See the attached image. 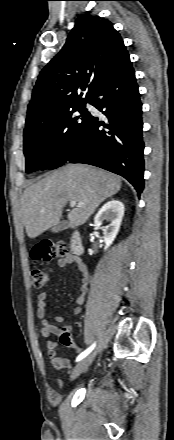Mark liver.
<instances>
[{
	"label": "liver",
	"instance_id": "liver-1",
	"mask_svg": "<svg viewBox=\"0 0 174 440\" xmlns=\"http://www.w3.org/2000/svg\"><path fill=\"white\" fill-rule=\"evenodd\" d=\"M117 175L89 165L69 164L27 187L22 195L21 220L29 238L59 223L69 201L83 205L67 215L68 226L84 224L97 207L121 189Z\"/></svg>",
	"mask_w": 174,
	"mask_h": 440
}]
</instances>
